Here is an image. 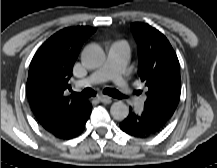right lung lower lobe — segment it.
<instances>
[{
	"instance_id": "1",
	"label": "right lung lower lobe",
	"mask_w": 217,
	"mask_h": 168,
	"mask_svg": "<svg viewBox=\"0 0 217 168\" xmlns=\"http://www.w3.org/2000/svg\"><path fill=\"white\" fill-rule=\"evenodd\" d=\"M91 111L92 106L90 104L89 108L85 112L70 121L64 127L50 133L59 139H71L80 135L85 128V124L91 114Z\"/></svg>"
}]
</instances>
